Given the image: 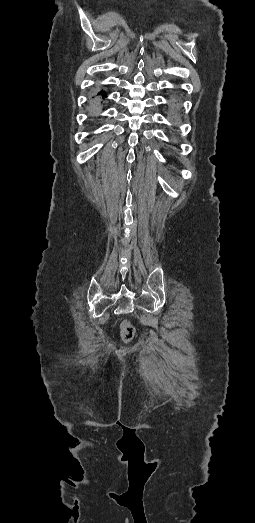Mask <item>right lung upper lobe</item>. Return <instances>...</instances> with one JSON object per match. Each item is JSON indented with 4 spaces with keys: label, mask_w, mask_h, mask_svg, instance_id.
<instances>
[{
    "label": "right lung upper lobe",
    "mask_w": 255,
    "mask_h": 523,
    "mask_svg": "<svg viewBox=\"0 0 255 523\" xmlns=\"http://www.w3.org/2000/svg\"><path fill=\"white\" fill-rule=\"evenodd\" d=\"M96 99L94 100L93 104L100 108L106 101V97H107V93L103 90L99 91L96 95H95Z\"/></svg>",
    "instance_id": "cb5924a9"
}]
</instances>
